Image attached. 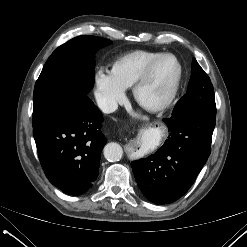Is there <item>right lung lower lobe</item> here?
Returning a JSON list of instances; mask_svg holds the SVG:
<instances>
[{
  "mask_svg": "<svg viewBox=\"0 0 247 247\" xmlns=\"http://www.w3.org/2000/svg\"><path fill=\"white\" fill-rule=\"evenodd\" d=\"M102 122L103 115L90 98L77 93L33 128L41 166L49 181L64 193L81 195L96 180L107 141Z\"/></svg>",
  "mask_w": 247,
  "mask_h": 247,
  "instance_id": "right-lung-lower-lobe-1",
  "label": "right lung lower lobe"
}]
</instances>
